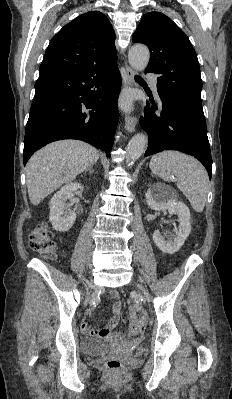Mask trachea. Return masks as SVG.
Masks as SVG:
<instances>
[{
    "label": "trachea",
    "mask_w": 232,
    "mask_h": 399,
    "mask_svg": "<svg viewBox=\"0 0 232 399\" xmlns=\"http://www.w3.org/2000/svg\"><path fill=\"white\" fill-rule=\"evenodd\" d=\"M134 78H135V80H143V79H142L140 76H138V75L135 76Z\"/></svg>",
    "instance_id": "trachea-1"
}]
</instances>
